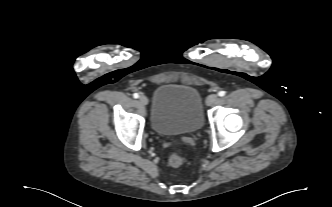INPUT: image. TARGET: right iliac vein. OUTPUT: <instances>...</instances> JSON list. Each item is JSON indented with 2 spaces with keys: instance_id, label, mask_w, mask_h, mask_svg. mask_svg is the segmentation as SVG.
I'll return each instance as SVG.
<instances>
[{
  "instance_id": "63e3f726",
  "label": "right iliac vein",
  "mask_w": 332,
  "mask_h": 207,
  "mask_svg": "<svg viewBox=\"0 0 332 207\" xmlns=\"http://www.w3.org/2000/svg\"><path fill=\"white\" fill-rule=\"evenodd\" d=\"M139 102L142 104V105H147L148 104V98L144 95H141L139 97Z\"/></svg>"
}]
</instances>
